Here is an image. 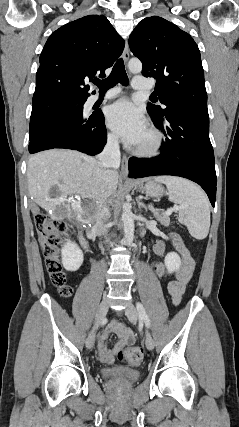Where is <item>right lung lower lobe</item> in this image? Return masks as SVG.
I'll return each mask as SVG.
<instances>
[{
  "mask_svg": "<svg viewBox=\"0 0 239 427\" xmlns=\"http://www.w3.org/2000/svg\"><path fill=\"white\" fill-rule=\"evenodd\" d=\"M106 141L107 132L101 112L85 118L75 108H68L49 117L41 125L30 139L28 149L33 154L52 148H66L93 156L103 150Z\"/></svg>",
  "mask_w": 239,
  "mask_h": 427,
  "instance_id": "obj_1",
  "label": "right lung lower lobe"
}]
</instances>
